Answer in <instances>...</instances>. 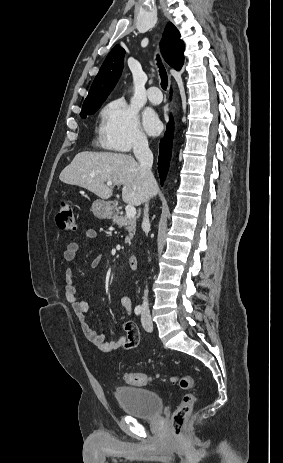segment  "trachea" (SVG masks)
<instances>
[{
	"mask_svg": "<svg viewBox=\"0 0 283 463\" xmlns=\"http://www.w3.org/2000/svg\"><path fill=\"white\" fill-rule=\"evenodd\" d=\"M156 60H157V65L159 67V72H160V77H161V87L163 90H166L167 85H168V77L166 74V70L161 63V59L159 55L157 56Z\"/></svg>",
	"mask_w": 283,
	"mask_h": 463,
	"instance_id": "trachea-1",
	"label": "trachea"
}]
</instances>
